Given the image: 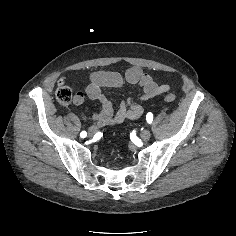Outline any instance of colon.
<instances>
[{
  "instance_id": "1",
  "label": "colon",
  "mask_w": 236,
  "mask_h": 236,
  "mask_svg": "<svg viewBox=\"0 0 236 236\" xmlns=\"http://www.w3.org/2000/svg\"><path fill=\"white\" fill-rule=\"evenodd\" d=\"M56 99L61 105H68L72 101V92L65 84L60 83L56 89ZM166 102H174L176 95L168 93L164 96Z\"/></svg>"
}]
</instances>
